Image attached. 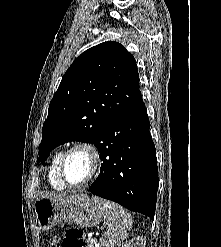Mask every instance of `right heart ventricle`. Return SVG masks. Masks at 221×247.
<instances>
[{
    "mask_svg": "<svg viewBox=\"0 0 221 247\" xmlns=\"http://www.w3.org/2000/svg\"><path fill=\"white\" fill-rule=\"evenodd\" d=\"M65 151L66 150L64 148L59 149L53 155L49 166L48 179L51 186L57 190H64L66 188V185L63 183L59 175L60 164Z\"/></svg>",
    "mask_w": 221,
    "mask_h": 247,
    "instance_id": "obj_1",
    "label": "right heart ventricle"
}]
</instances>
